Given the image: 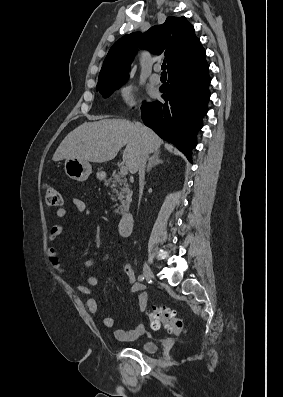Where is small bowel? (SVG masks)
<instances>
[{"label": "small bowel", "mask_w": 283, "mask_h": 397, "mask_svg": "<svg viewBox=\"0 0 283 397\" xmlns=\"http://www.w3.org/2000/svg\"><path fill=\"white\" fill-rule=\"evenodd\" d=\"M72 205H73L72 208H67V207L58 208L55 211L56 217L59 219H63L71 214L85 215L87 217H90L92 215L91 211L87 208L86 203L82 199L78 197H73ZM64 228H65V224L62 222L54 224L49 232V236H48L49 240L50 241L56 240L63 233ZM47 257L52 268L55 271H57L59 274L64 275L65 270L62 265L60 254L55 247H50L47 250ZM94 265H95L94 259H86L84 261V266L86 268H91ZM121 268L125 276L127 277L130 286V291L132 293L138 294L137 296L138 309L140 312H143L146 309L148 303V294L144 290V285L136 281L135 272L130 265L123 264ZM99 283H100L99 277L89 276L85 279L84 284H75V288L77 291H79L84 295L89 296L86 300V307L89 313L92 315L98 314L99 307L96 299L90 296L92 294L91 287L97 286ZM101 321L105 327L113 328L115 326V320L112 317L104 316L102 317ZM145 330H146L145 325L143 323H139L130 330H124L120 328L115 329L114 336L119 341L131 342L141 337L145 333Z\"/></svg>", "instance_id": "small-bowel-1"}]
</instances>
